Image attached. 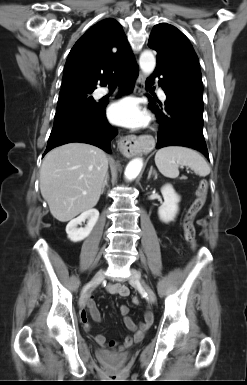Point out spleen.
Listing matches in <instances>:
<instances>
[{
  "label": "spleen",
  "instance_id": "1",
  "mask_svg": "<svg viewBox=\"0 0 247 385\" xmlns=\"http://www.w3.org/2000/svg\"><path fill=\"white\" fill-rule=\"evenodd\" d=\"M155 164L161 174L168 178L178 177L179 166H188L201 177L210 173L209 165L197 151L182 146H168L158 150Z\"/></svg>",
  "mask_w": 247,
  "mask_h": 385
}]
</instances>
